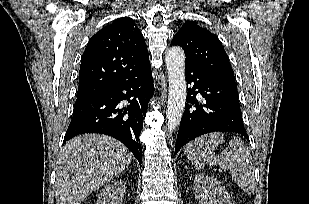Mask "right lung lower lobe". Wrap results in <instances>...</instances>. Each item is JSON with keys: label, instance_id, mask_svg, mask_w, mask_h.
Masks as SVG:
<instances>
[{"label": "right lung lower lobe", "instance_id": "1", "mask_svg": "<svg viewBox=\"0 0 309 204\" xmlns=\"http://www.w3.org/2000/svg\"><path fill=\"white\" fill-rule=\"evenodd\" d=\"M153 93V79L149 68L126 82L77 99L63 144L79 134H106L121 141L141 164L142 147L139 135L148 101ZM124 100H127L130 105L124 110L119 109L118 104Z\"/></svg>", "mask_w": 309, "mask_h": 204}]
</instances>
